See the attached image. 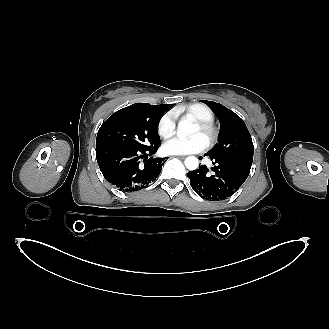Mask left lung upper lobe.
Returning <instances> with one entry per match:
<instances>
[{
	"label": "left lung upper lobe",
	"mask_w": 329,
	"mask_h": 329,
	"mask_svg": "<svg viewBox=\"0 0 329 329\" xmlns=\"http://www.w3.org/2000/svg\"><path fill=\"white\" fill-rule=\"evenodd\" d=\"M220 118L222 129L218 145L208 155L252 165L254 145L244 121L223 105L202 100Z\"/></svg>",
	"instance_id": "1"
}]
</instances>
